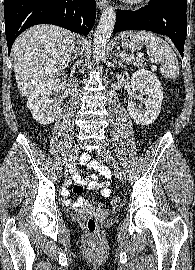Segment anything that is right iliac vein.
I'll list each match as a JSON object with an SVG mask.
<instances>
[{"label": "right iliac vein", "instance_id": "1", "mask_svg": "<svg viewBox=\"0 0 195 270\" xmlns=\"http://www.w3.org/2000/svg\"><path fill=\"white\" fill-rule=\"evenodd\" d=\"M78 154H79V146L75 145L72 149V152H71L69 160H68V164H67V167L65 170L66 175L71 174L72 169H75Z\"/></svg>", "mask_w": 195, "mask_h": 270}]
</instances>
